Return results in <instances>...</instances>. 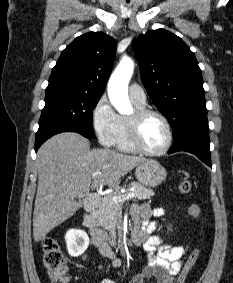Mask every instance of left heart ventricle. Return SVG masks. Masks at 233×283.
<instances>
[{
	"label": "left heart ventricle",
	"instance_id": "1",
	"mask_svg": "<svg viewBox=\"0 0 233 283\" xmlns=\"http://www.w3.org/2000/svg\"><path fill=\"white\" fill-rule=\"evenodd\" d=\"M140 138L147 149L151 151L162 149L168 140L165 124L156 116L147 118L141 126Z\"/></svg>",
	"mask_w": 233,
	"mask_h": 283
}]
</instances>
